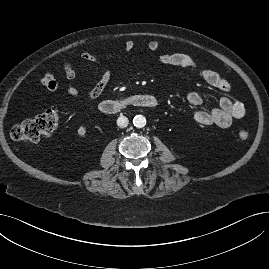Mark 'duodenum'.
Wrapping results in <instances>:
<instances>
[{
	"label": "duodenum",
	"mask_w": 269,
	"mask_h": 269,
	"mask_svg": "<svg viewBox=\"0 0 269 269\" xmlns=\"http://www.w3.org/2000/svg\"><path fill=\"white\" fill-rule=\"evenodd\" d=\"M158 101L151 95H136L122 99L104 100L99 104V110L106 115H114L128 107L155 108Z\"/></svg>",
	"instance_id": "obj_1"
}]
</instances>
